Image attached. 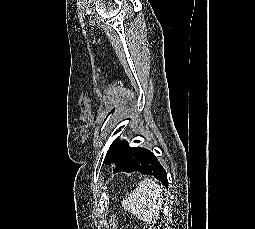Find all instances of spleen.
<instances>
[{
    "label": "spleen",
    "mask_w": 255,
    "mask_h": 229,
    "mask_svg": "<svg viewBox=\"0 0 255 229\" xmlns=\"http://www.w3.org/2000/svg\"><path fill=\"white\" fill-rule=\"evenodd\" d=\"M163 204V189L155 180L145 178L122 201L125 210L144 222H155Z\"/></svg>",
    "instance_id": "obj_1"
}]
</instances>
